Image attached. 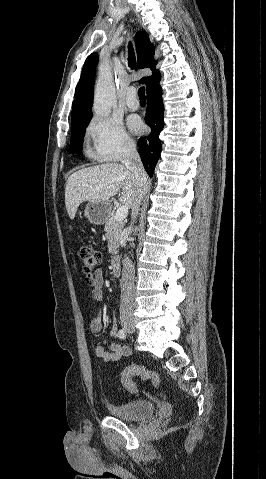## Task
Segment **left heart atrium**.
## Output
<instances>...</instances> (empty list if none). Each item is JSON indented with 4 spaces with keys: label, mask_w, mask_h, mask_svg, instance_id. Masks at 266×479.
Wrapping results in <instances>:
<instances>
[{
    "label": "left heart atrium",
    "mask_w": 266,
    "mask_h": 479,
    "mask_svg": "<svg viewBox=\"0 0 266 479\" xmlns=\"http://www.w3.org/2000/svg\"><path fill=\"white\" fill-rule=\"evenodd\" d=\"M129 127L130 129L133 131V132H140L143 128V124L142 122L140 121V119L136 118V117H132L129 119Z\"/></svg>",
    "instance_id": "1"
}]
</instances>
